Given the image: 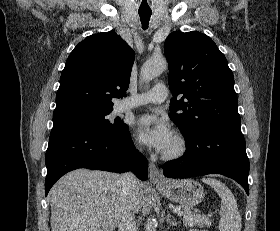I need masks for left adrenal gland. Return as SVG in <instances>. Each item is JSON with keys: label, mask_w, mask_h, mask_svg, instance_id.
Here are the masks:
<instances>
[{"label": "left adrenal gland", "mask_w": 280, "mask_h": 231, "mask_svg": "<svg viewBox=\"0 0 280 231\" xmlns=\"http://www.w3.org/2000/svg\"><path fill=\"white\" fill-rule=\"evenodd\" d=\"M170 217H171V213H169L168 211L166 221L167 223H169V225H177V223H180V221H175V219H170Z\"/></svg>", "instance_id": "left-adrenal-gland-1"}]
</instances>
